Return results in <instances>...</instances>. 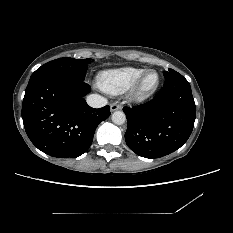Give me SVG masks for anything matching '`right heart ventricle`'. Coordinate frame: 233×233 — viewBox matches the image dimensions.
<instances>
[{"label":"right heart ventricle","mask_w":233,"mask_h":233,"mask_svg":"<svg viewBox=\"0 0 233 233\" xmlns=\"http://www.w3.org/2000/svg\"><path fill=\"white\" fill-rule=\"evenodd\" d=\"M145 71L141 67L107 70L99 76L98 86L109 94H121L129 90Z\"/></svg>","instance_id":"e07e8e85"}]
</instances>
